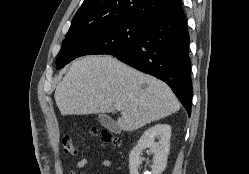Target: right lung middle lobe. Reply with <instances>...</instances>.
I'll list each match as a JSON object with an SVG mask.
<instances>
[{
    "label": "right lung middle lobe",
    "mask_w": 249,
    "mask_h": 174,
    "mask_svg": "<svg viewBox=\"0 0 249 174\" xmlns=\"http://www.w3.org/2000/svg\"><path fill=\"white\" fill-rule=\"evenodd\" d=\"M145 24L146 21L122 19L68 31L57 56L56 68L59 70L85 55L122 52L141 37Z\"/></svg>",
    "instance_id": "dd1d6c3e"
}]
</instances>
